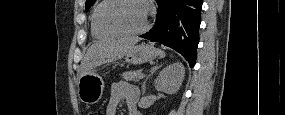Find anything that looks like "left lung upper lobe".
Segmentation results:
<instances>
[{
	"label": "left lung upper lobe",
	"mask_w": 285,
	"mask_h": 115,
	"mask_svg": "<svg viewBox=\"0 0 285 115\" xmlns=\"http://www.w3.org/2000/svg\"><path fill=\"white\" fill-rule=\"evenodd\" d=\"M96 0H86V11L94 4Z\"/></svg>",
	"instance_id": "5c2ea615"
}]
</instances>
